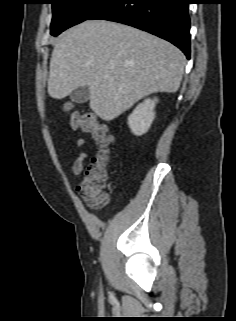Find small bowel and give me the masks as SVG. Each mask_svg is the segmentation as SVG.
<instances>
[{
	"label": "small bowel",
	"mask_w": 236,
	"mask_h": 321,
	"mask_svg": "<svg viewBox=\"0 0 236 321\" xmlns=\"http://www.w3.org/2000/svg\"><path fill=\"white\" fill-rule=\"evenodd\" d=\"M78 146L81 147L84 144L83 139H79L77 142ZM87 155L84 152H80L77 158L75 159L73 165H72V172L74 175H80L84 168V161L86 159Z\"/></svg>",
	"instance_id": "small-bowel-1"
}]
</instances>
